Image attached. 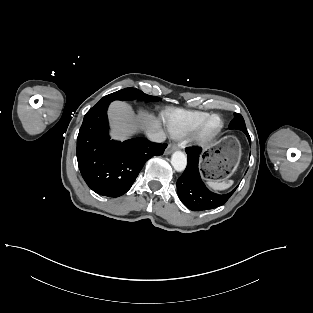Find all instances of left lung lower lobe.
I'll use <instances>...</instances> for the list:
<instances>
[{
    "label": "left lung lower lobe",
    "instance_id": "0a47b994",
    "mask_svg": "<svg viewBox=\"0 0 313 313\" xmlns=\"http://www.w3.org/2000/svg\"><path fill=\"white\" fill-rule=\"evenodd\" d=\"M251 144V139L248 132H244ZM188 164L177 181V192L181 202L190 210L203 211L217 208L227 202L234 193L235 189L228 194H215L208 190L202 182L198 161L201 154L200 148H186Z\"/></svg>",
    "mask_w": 313,
    "mask_h": 313
}]
</instances>
